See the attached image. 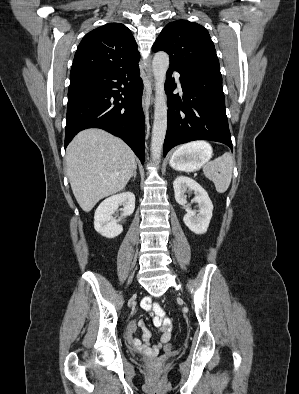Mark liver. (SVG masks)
<instances>
[{
  "instance_id": "obj_1",
  "label": "liver",
  "mask_w": 299,
  "mask_h": 394,
  "mask_svg": "<svg viewBox=\"0 0 299 394\" xmlns=\"http://www.w3.org/2000/svg\"><path fill=\"white\" fill-rule=\"evenodd\" d=\"M135 154L120 138L100 129L78 133L66 150V172L85 212L123 190L137 167Z\"/></svg>"
}]
</instances>
